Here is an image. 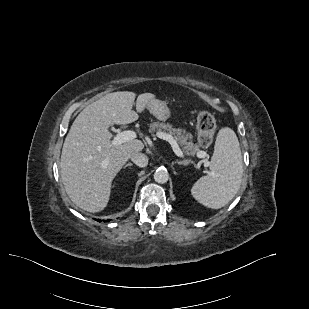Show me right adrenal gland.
<instances>
[{
  "label": "right adrenal gland",
  "instance_id": "1",
  "mask_svg": "<svg viewBox=\"0 0 309 309\" xmlns=\"http://www.w3.org/2000/svg\"><path fill=\"white\" fill-rule=\"evenodd\" d=\"M129 166H133L132 163H127L123 168L129 167Z\"/></svg>",
  "mask_w": 309,
  "mask_h": 309
}]
</instances>
